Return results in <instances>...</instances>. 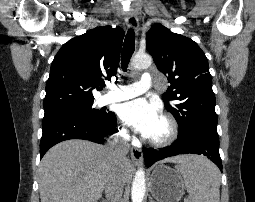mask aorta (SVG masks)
<instances>
[{
  "label": "aorta",
  "mask_w": 255,
  "mask_h": 202,
  "mask_svg": "<svg viewBox=\"0 0 255 202\" xmlns=\"http://www.w3.org/2000/svg\"><path fill=\"white\" fill-rule=\"evenodd\" d=\"M152 64V59L147 54H136L132 58L131 65L136 69H146ZM146 191L145 172L143 168L137 170L132 182V202H142Z\"/></svg>",
  "instance_id": "1"
}]
</instances>
